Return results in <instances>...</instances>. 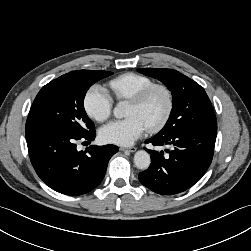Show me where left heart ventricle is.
<instances>
[{
    "mask_svg": "<svg viewBox=\"0 0 251 251\" xmlns=\"http://www.w3.org/2000/svg\"><path fill=\"white\" fill-rule=\"evenodd\" d=\"M166 106V99L162 92H154L144 105L138 106L129 103L126 115L139 117L147 128L156 122L162 115Z\"/></svg>",
    "mask_w": 251,
    "mask_h": 251,
    "instance_id": "1",
    "label": "left heart ventricle"
}]
</instances>
